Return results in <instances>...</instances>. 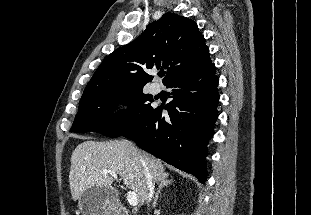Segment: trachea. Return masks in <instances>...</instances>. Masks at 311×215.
Returning <instances> with one entry per match:
<instances>
[{
  "label": "trachea",
  "instance_id": "3493384b",
  "mask_svg": "<svg viewBox=\"0 0 311 215\" xmlns=\"http://www.w3.org/2000/svg\"><path fill=\"white\" fill-rule=\"evenodd\" d=\"M165 74L164 73H159V76L160 77H163Z\"/></svg>",
  "mask_w": 311,
  "mask_h": 215
}]
</instances>
